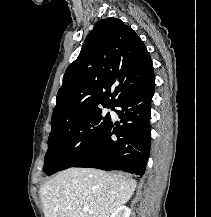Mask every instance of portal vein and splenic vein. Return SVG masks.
Instances as JSON below:
<instances>
[{
	"mask_svg": "<svg viewBox=\"0 0 211 217\" xmlns=\"http://www.w3.org/2000/svg\"><path fill=\"white\" fill-rule=\"evenodd\" d=\"M83 210H84L85 212L92 213V211H90V209H89L88 207H84Z\"/></svg>",
	"mask_w": 211,
	"mask_h": 217,
	"instance_id": "obj_1",
	"label": "portal vein and splenic vein"
}]
</instances>
